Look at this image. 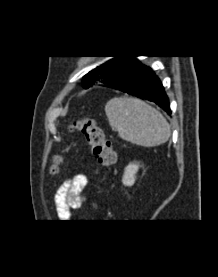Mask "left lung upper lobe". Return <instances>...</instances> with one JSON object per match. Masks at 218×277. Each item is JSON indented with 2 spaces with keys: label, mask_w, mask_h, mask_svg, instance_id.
<instances>
[{
  "label": "left lung upper lobe",
  "mask_w": 218,
  "mask_h": 277,
  "mask_svg": "<svg viewBox=\"0 0 218 277\" xmlns=\"http://www.w3.org/2000/svg\"><path fill=\"white\" fill-rule=\"evenodd\" d=\"M132 57L133 56H116L104 64L97 66L83 77V86L88 88L95 82H103L113 72L124 68L129 62H131L133 60Z\"/></svg>",
  "instance_id": "5c2ea615"
}]
</instances>
